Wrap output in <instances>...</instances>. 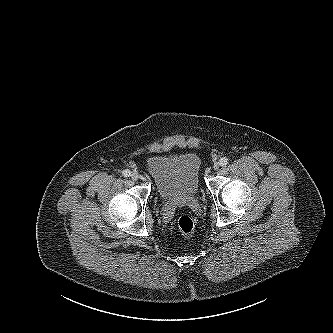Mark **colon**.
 <instances>
[{
  "label": "colon",
  "mask_w": 333,
  "mask_h": 333,
  "mask_svg": "<svg viewBox=\"0 0 333 333\" xmlns=\"http://www.w3.org/2000/svg\"><path fill=\"white\" fill-rule=\"evenodd\" d=\"M178 230L184 236H190L195 229V223L189 215H182L178 220Z\"/></svg>",
  "instance_id": "obj_1"
}]
</instances>
